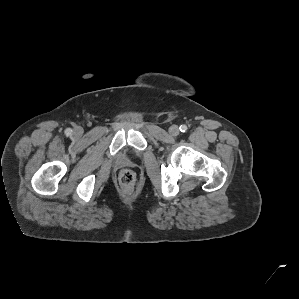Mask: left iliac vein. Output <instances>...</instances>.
I'll return each mask as SVG.
<instances>
[{
	"instance_id": "left-iliac-vein-1",
	"label": "left iliac vein",
	"mask_w": 299,
	"mask_h": 299,
	"mask_svg": "<svg viewBox=\"0 0 299 299\" xmlns=\"http://www.w3.org/2000/svg\"><path fill=\"white\" fill-rule=\"evenodd\" d=\"M169 133L170 135L172 136H177L179 135V127L177 125H172L170 128H169Z\"/></svg>"
}]
</instances>
